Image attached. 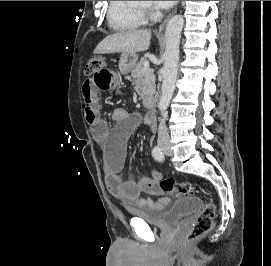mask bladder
<instances>
[{
    "label": "bladder",
    "instance_id": "31cf9c89",
    "mask_svg": "<svg viewBox=\"0 0 271 266\" xmlns=\"http://www.w3.org/2000/svg\"><path fill=\"white\" fill-rule=\"evenodd\" d=\"M202 206V201L198 197H185L169 207L155 213H147L131 209L133 217L144 220L150 225L166 227L181 220L186 215L198 210Z\"/></svg>",
    "mask_w": 271,
    "mask_h": 266
}]
</instances>
